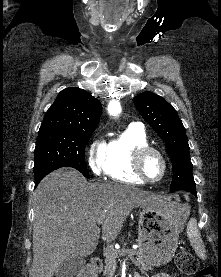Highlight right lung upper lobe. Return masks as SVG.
Wrapping results in <instances>:
<instances>
[{"instance_id":"cb5924a9","label":"right lung upper lobe","mask_w":221,"mask_h":277,"mask_svg":"<svg viewBox=\"0 0 221 277\" xmlns=\"http://www.w3.org/2000/svg\"><path fill=\"white\" fill-rule=\"evenodd\" d=\"M102 113V105L87 91L66 88L48 109L40 130H94Z\"/></svg>"}]
</instances>
